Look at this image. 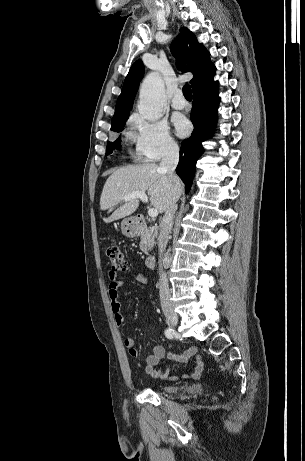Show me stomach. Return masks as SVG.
I'll list each match as a JSON object with an SVG mask.
<instances>
[{
  "label": "stomach",
  "instance_id": "obj_1",
  "mask_svg": "<svg viewBox=\"0 0 305 461\" xmlns=\"http://www.w3.org/2000/svg\"><path fill=\"white\" fill-rule=\"evenodd\" d=\"M122 234L126 237L133 238L138 235L139 228L134 218H125L121 222Z\"/></svg>",
  "mask_w": 305,
  "mask_h": 461
}]
</instances>
